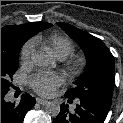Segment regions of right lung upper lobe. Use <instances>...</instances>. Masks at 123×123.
Masks as SVG:
<instances>
[{
  "label": "right lung upper lobe",
  "instance_id": "obj_1",
  "mask_svg": "<svg viewBox=\"0 0 123 123\" xmlns=\"http://www.w3.org/2000/svg\"><path fill=\"white\" fill-rule=\"evenodd\" d=\"M49 27H51V24L44 22L5 26L1 28V49H10L17 41L26 38L28 40L40 30Z\"/></svg>",
  "mask_w": 123,
  "mask_h": 123
}]
</instances>
